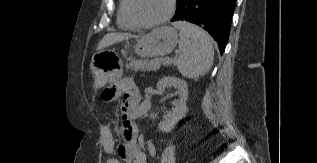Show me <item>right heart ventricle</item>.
I'll use <instances>...</instances> for the list:
<instances>
[{
  "instance_id": "e07e8e85",
  "label": "right heart ventricle",
  "mask_w": 317,
  "mask_h": 163,
  "mask_svg": "<svg viewBox=\"0 0 317 163\" xmlns=\"http://www.w3.org/2000/svg\"><path fill=\"white\" fill-rule=\"evenodd\" d=\"M117 23L121 29L124 30H134L139 26L131 19L128 13V0H120L118 15H117Z\"/></svg>"
}]
</instances>
